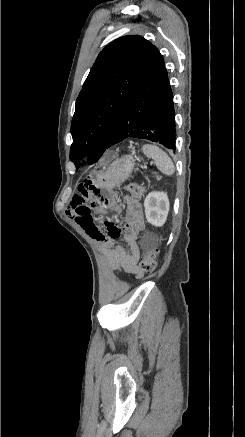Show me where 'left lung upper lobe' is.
<instances>
[{
    "instance_id": "5c2ea615",
    "label": "left lung upper lobe",
    "mask_w": 245,
    "mask_h": 437,
    "mask_svg": "<svg viewBox=\"0 0 245 437\" xmlns=\"http://www.w3.org/2000/svg\"><path fill=\"white\" fill-rule=\"evenodd\" d=\"M158 53L136 35L118 38L99 53L76 100L71 123L70 160L76 168L86 155L90 164L103 155L123 107Z\"/></svg>"
}]
</instances>
